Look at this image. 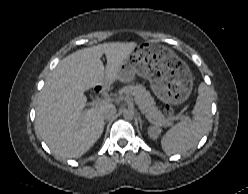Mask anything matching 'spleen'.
Returning <instances> with one entry per match:
<instances>
[{"label":"spleen","instance_id":"3e777b00","mask_svg":"<svg viewBox=\"0 0 248 194\" xmlns=\"http://www.w3.org/2000/svg\"><path fill=\"white\" fill-rule=\"evenodd\" d=\"M194 120H183L170 128L161 139L165 153H183L193 148L211 128V95L208 86L201 83L193 109Z\"/></svg>","mask_w":248,"mask_h":194}]
</instances>
